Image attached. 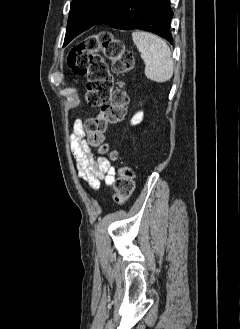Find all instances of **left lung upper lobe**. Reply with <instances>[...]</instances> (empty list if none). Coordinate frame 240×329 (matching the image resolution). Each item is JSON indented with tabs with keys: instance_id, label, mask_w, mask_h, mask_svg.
<instances>
[{
	"instance_id": "1",
	"label": "left lung upper lobe",
	"mask_w": 240,
	"mask_h": 329,
	"mask_svg": "<svg viewBox=\"0 0 240 329\" xmlns=\"http://www.w3.org/2000/svg\"><path fill=\"white\" fill-rule=\"evenodd\" d=\"M120 0H73L71 2L64 46L74 37L95 25Z\"/></svg>"
}]
</instances>
